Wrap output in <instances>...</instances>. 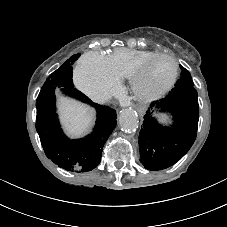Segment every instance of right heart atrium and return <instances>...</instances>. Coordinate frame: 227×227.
I'll return each instance as SVG.
<instances>
[{
  "label": "right heart atrium",
  "mask_w": 227,
  "mask_h": 227,
  "mask_svg": "<svg viewBox=\"0 0 227 227\" xmlns=\"http://www.w3.org/2000/svg\"><path fill=\"white\" fill-rule=\"evenodd\" d=\"M74 78L78 88L95 101L105 100L120 86V79L112 71L107 57L96 51L82 56Z\"/></svg>",
  "instance_id": "d8ad5b80"
}]
</instances>
